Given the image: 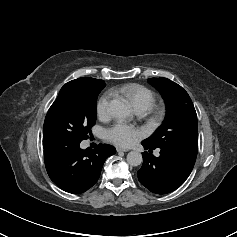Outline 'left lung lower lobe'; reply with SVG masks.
<instances>
[{
  "mask_svg": "<svg viewBox=\"0 0 237 237\" xmlns=\"http://www.w3.org/2000/svg\"><path fill=\"white\" fill-rule=\"evenodd\" d=\"M148 152L143 153V165L138 179L148 190L156 194H167L181 186L190 175L197 156L196 148H160L155 157L150 147L142 142Z\"/></svg>",
  "mask_w": 237,
  "mask_h": 237,
  "instance_id": "1",
  "label": "left lung lower lobe"
}]
</instances>
